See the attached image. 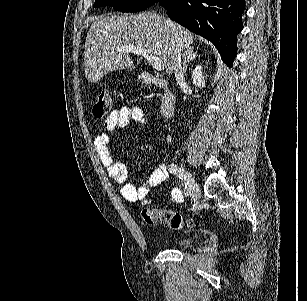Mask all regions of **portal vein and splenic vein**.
Segmentation results:
<instances>
[{"mask_svg":"<svg viewBox=\"0 0 307 301\" xmlns=\"http://www.w3.org/2000/svg\"><path fill=\"white\" fill-rule=\"evenodd\" d=\"M116 50L118 52H135V54H141V56L147 58L149 64H153L156 70H163L164 68L160 56H154L152 52H149L146 48H141V46H116Z\"/></svg>","mask_w":307,"mask_h":301,"instance_id":"portal-vein-and-splenic-vein-1","label":"portal vein and splenic vein"}]
</instances>
